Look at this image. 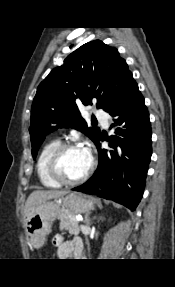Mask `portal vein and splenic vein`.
Segmentation results:
<instances>
[{
	"mask_svg": "<svg viewBox=\"0 0 175 287\" xmlns=\"http://www.w3.org/2000/svg\"><path fill=\"white\" fill-rule=\"evenodd\" d=\"M76 220L77 221H82V218L81 217H77Z\"/></svg>",
	"mask_w": 175,
	"mask_h": 287,
	"instance_id": "obj_1",
	"label": "portal vein and splenic vein"
}]
</instances>
